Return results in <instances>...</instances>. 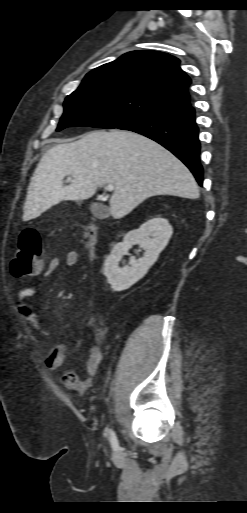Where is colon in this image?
<instances>
[{"instance_id": "1", "label": "colon", "mask_w": 247, "mask_h": 513, "mask_svg": "<svg viewBox=\"0 0 247 513\" xmlns=\"http://www.w3.org/2000/svg\"><path fill=\"white\" fill-rule=\"evenodd\" d=\"M41 239L38 231L33 228L24 229L18 239L15 256L11 262V273L14 277L30 275L41 267Z\"/></svg>"}]
</instances>
